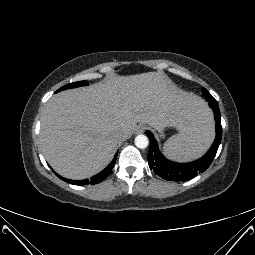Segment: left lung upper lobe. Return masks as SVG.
Instances as JSON below:
<instances>
[{
  "label": "left lung upper lobe",
  "mask_w": 255,
  "mask_h": 255,
  "mask_svg": "<svg viewBox=\"0 0 255 255\" xmlns=\"http://www.w3.org/2000/svg\"><path fill=\"white\" fill-rule=\"evenodd\" d=\"M202 93H203V95L204 96H207V95H209L210 93L206 90V89H202Z\"/></svg>",
  "instance_id": "obj_1"
}]
</instances>
